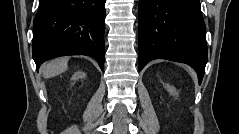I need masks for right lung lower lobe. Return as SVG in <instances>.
Wrapping results in <instances>:
<instances>
[{
	"mask_svg": "<svg viewBox=\"0 0 239 134\" xmlns=\"http://www.w3.org/2000/svg\"><path fill=\"white\" fill-rule=\"evenodd\" d=\"M105 0H40L33 23L37 69L64 55H88L104 70Z\"/></svg>",
	"mask_w": 239,
	"mask_h": 134,
	"instance_id": "98d812e1",
	"label": "right lung lower lobe"
}]
</instances>
